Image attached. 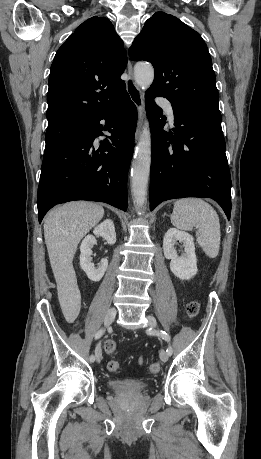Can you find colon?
<instances>
[{
    "instance_id": "5ec220e1",
    "label": "colon",
    "mask_w": 261,
    "mask_h": 459,
    "mask_svg": "<svg viewBox=\"0 0 261 459\" xmlns=\"http://www.w3.org/2000/svg\"><path fill=\"white\" fill-rule=\"evenodd\" d=\"M200 311V304L197 301H192L188 303L186 307L187 315L190 319L195 318ZM105 352L109 355H113L117 351V344L113 340H107L104 345ZM106 367L108 371L116 373L120 370V364L117 361L110 360L107 362ZM149 371L151 373H158L160 371L159 363H152L149 366Z\"/></svg>"
}]
</instances>
